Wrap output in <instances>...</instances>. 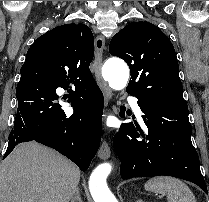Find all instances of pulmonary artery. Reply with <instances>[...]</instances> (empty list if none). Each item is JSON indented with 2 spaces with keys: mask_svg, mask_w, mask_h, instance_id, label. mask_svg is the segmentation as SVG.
Here are the masks:
<instances>
[{
  "mask_svg": "<svg viewBox=\"0 0 209 202\" xmlns=\"http://www.w3.org/2000/svg\"><path fill=\"white\" fill-rule=\"evenodd\" d=\"M129 102L131 105V108L133 109V111L140 115L141 114V109H140V103L138 102V100L136 98H129Z\"/></svg>",
  "mask_w": 209,
  "mask_h": 202,
  "instance_id": "obj_1",
  "label": "pulmonary artery"
}]
</instances>
